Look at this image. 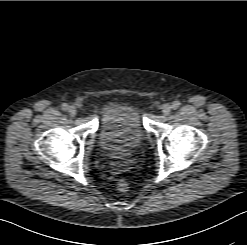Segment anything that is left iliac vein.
Here are the masks:
<instances>
[{"mask_svg": "<svg viewBox=\"0 0 247 245\" xmlns=\"http://www.w3.org/2000/svg\"><path fill=\"white\" fill-rule=\"evenodd\" d=\"M171 109H172L171 105H169V104H164V105L162 106L163 115H165V116L169 115L170 112H171Z\"/></svg>", "mask_w": 247, "mask_h": 245, "instance_id": "obj_1", "label": "left iliac vein"}]
</instances>
